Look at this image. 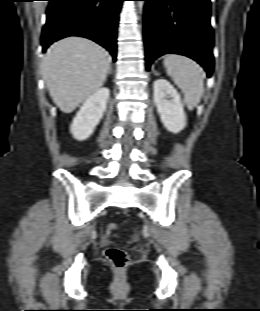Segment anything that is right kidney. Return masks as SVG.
Masks as SVG:
<instances>
[{"label":"right kidney","instance_id":"right-kidney-1","mask_svg":"<svg viewBox=\"0 0 260 311\" xmlns=\"http://www.w3.org/2000/svg\"><path fill=\"white\" fill-rule=\"evenodd\" d=\"M109 95L110 90L102 87L85 101L70 127V132L75 139L83 141L91 136L103 117Z\"/></svg>","mask_w":260,"mask_h":311}]
</instances>
